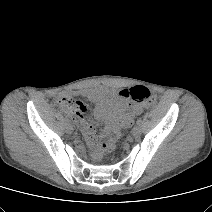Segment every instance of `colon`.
Wrapping results in <instances>:
<instances>
[{"label":"colon","instance_id":"1","mask_svg":"<svg viewBox=\"0 0 212 212\" xmlns=\"http://www.w3.org/2000/svg\"><path fill=\"white\" fill-rule=\"evenodd\" d=\"M118 95L144 105H154L156 103V98L151 95L148 88L142 85L123 89L119 91ZM57 104L62 112L72 115L76 119L81 117L85 111V106L82 102L68 96L60 97L57 100ZM120 135L119 129L113 131L111 136L101 144L99 151L101 153L113 151Z\"/></svg>","mask_w":212,"mask_h":212}]
</instances>
